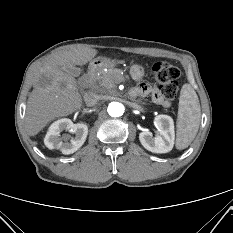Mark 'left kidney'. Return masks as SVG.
I'll list each match as a JSON object with an SVG mask.
<instances>
[{
	"mask_svg": "<svg viewBox=\"0 0 233 233\" xmlns=\"http://www.w3.org/2000/svg\"><path fill=\"white\" fill-rule=\"evenodd\" d=\"M154 125L158 128L155 137L148 129H144L139 134L142 146L153 153L170 152L175 139L173 119L168 115H158L154 118Z\"/></svg>",
	"mask_w": 233,
	"mask_h": 233,
	"instance_id": "5707ae66",
	"label": "left kidney"
}]
</instances>
